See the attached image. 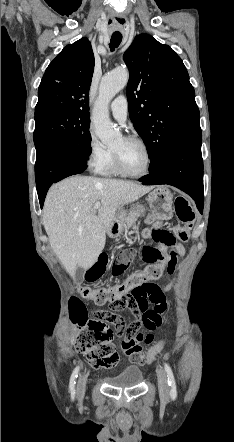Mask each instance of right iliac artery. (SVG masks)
<instances>
[{"instance_id":"1","label":"right iliac artery","mask_w":234,"mask_h":442,"mask_svg":"<svg viewBox=\"0 0 234 442\" xmlns=\"http://www.w3.org/2000/svg\"><path fill=\"white\" fill-rule=\"evenodd\" d=\"M78 371H79V367H76L71 375V378H70L69 390L72 395V398L74 397V394H75V383H76V378L78 376Z\"/></svg>"}]
</instances>
